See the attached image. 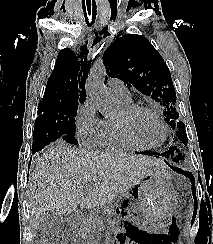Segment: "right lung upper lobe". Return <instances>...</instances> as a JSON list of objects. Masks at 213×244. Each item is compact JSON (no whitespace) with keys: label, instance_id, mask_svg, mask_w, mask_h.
<instances>
[{"label":"right lung upper lobe","instance_id":"right-lung-upper-lobe-1","mask_svg":"<svg viewBox=\"0 0 213 244\" xmlns=\"http://www.w3.org/2000/svg\"><path fill=\"white\" fill-rule=\"evenodd\" d=\"M89 70L90 63L86 59L77 57L69 48L61 50L41 102H84L85 81Z\"/></svg>","mask_w":213,"mask_h":244}]
</instances>
